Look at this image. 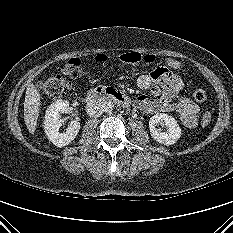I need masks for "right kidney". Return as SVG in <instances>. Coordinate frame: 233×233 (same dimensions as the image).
<instances>
[{"label":"right kidney","mask_w":233,"mask_h":233,"mask_svg":"<svg viewBox=\"0 0 233 233\" xmlns=\"http://www.w3.org/2000/svg\"><path fill=\"white\" fill-rule=\"evenodd\" d=\"M68 107V101L57 100L48 107L45 113V133L48 139L57 147H64L71 143L76 138L80 130V122L73 120L66 129V132H59V129L62 126L60 114L66 113Z\"/></svg>","instance_id":"obj_1"}]
</instances>
